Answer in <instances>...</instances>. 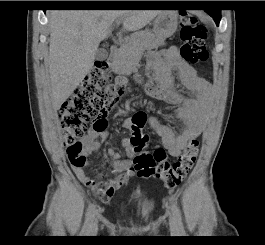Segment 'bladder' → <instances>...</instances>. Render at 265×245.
I'll list each match as a JSON object with an SVG mask.
<instances>
[{"instance_id":"bladder-1","label":"bladder","mask_w":265,"mask_h":245,"mask_svg":"<svg viewBox=\"0 0 265 245\" xmlns=\"http://www.w3.org/2000/svg\"><path fill=\"white\" fill-rule=\"evenodd\" d=\"M137 199H138L139 201H141L142 203L145 202V196H144V193H143L142 191L139 192V194H138V196H137Z\"/></svg>"}]
</instances>
